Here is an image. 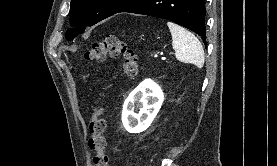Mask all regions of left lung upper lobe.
<instances>
[{
  "mask_svg": "<svg viewBox=\"0 0 277 166\" xmlns=\"http://www.w3.org/2000/svg\"><path fill=\"white\" fill-rule=\"evenodd\" d=\"M135 0H72L70 5V24L79 26L66 32V39L71 40L84 32L82 26H93L108 18Z\"/></svg>",
  "mask_w": 277,
  "mask_h": 166,
  "instance_id": "obj_1",
  "label": "left lung upper lobe"
}]
</instances>
